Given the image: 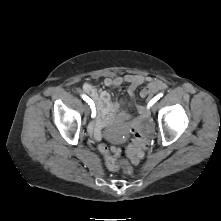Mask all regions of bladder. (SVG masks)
<instances>
[{"instance_id":"31cf9c89","label":"bladder","mask_w":221,"mask_h":221,"mask_svg":"<svg viewBox=\"0 0 221 221\" xmlns=\"http://www.w3.org/2000/svg\"><path fill=\"white\" fill-rule=\"evenodd\" d=\"M108 138L113 143H119L122 141V136L119 133H116L114 131H109Z\"/></svg>"}]
</instances>
